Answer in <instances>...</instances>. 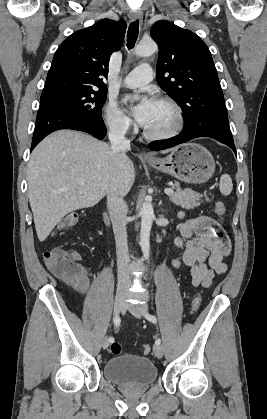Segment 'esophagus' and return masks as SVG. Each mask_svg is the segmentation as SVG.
<instances>
[{
  "label": "esophagus",
  "instance_id": "1",
  "mask_svg": "<svg viewBox=\"0 0 267 419\" xmlns=\"http://www.w3.org/2000/svg\"><path fill=\"white\" fill-rule=\"evenodd\" d=\"M129 17H130V19L132 21H136L138 19H142V12L139 11V10L130 11ZM142 156L145 159H152L153 158V156L151 154H148V153H143Z\"/></svg>",
  "mask_w": 267,
  "mask_h": 419
}]
</instances>
